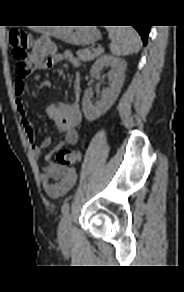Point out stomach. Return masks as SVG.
<instances>
[{
    "label": "stomach",
    "instance_id": "0dacf381",
    "mask_svg": "<svg viewBox=\"0 0 184 292\" xmlns=\"http://www.w3.org/2000/svg\"><path fill=\"white\" fill-rule=\"evenodd\" d=\"M54 37L72 44L86 45L100 39L99 31L91 27L63 26L55 29Z\"/></svg>",
    "mask_w": 184,
    "mask_h": 292
}]
</instances>
